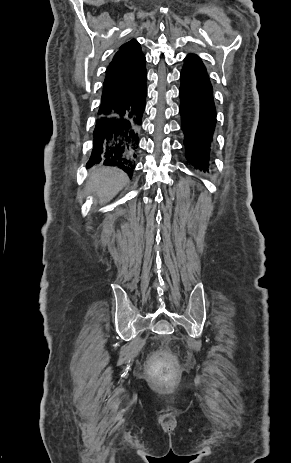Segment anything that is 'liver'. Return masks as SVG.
<instances>
[{"instance_id":"obj_1","label":"liver","mask_w":291,"mask_h":463,"mask_svg":"<svg viewBox=\"0 0 291 463\" xmlns=\"http://www.w3.org/2000/svg\"><path fill=\"white\" fill-rule=\"evenodd\" d=\"M129 182L128 176L113 167H95L90 170L86 193L93 194L100 204L110 202Z\"/></svg>"}]
</instances>
